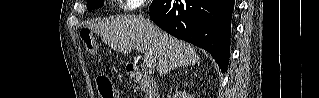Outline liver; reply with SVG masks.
<instances>
[{
    "mask_svg": "<svg viewBox=\"0 0 319 98\" xmlns=\"http://www.w3.org/2000/svg\"><path fill=\"white\" fill-rule=\"evenodd\" d=\"M89 28L117 52L128 54L135 46H143L152 55L161 76L180 66L200 64V56L192 45L167 34L143 17L117 16L93 22Z\"/></svg>",
    "mask_w": 319,
    "mask_h": 98,
    "instance_id": "1",
    "label": "liver"
}]
</instances>
